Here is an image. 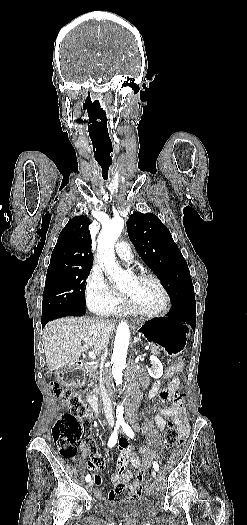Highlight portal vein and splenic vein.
<instances>
[{
    "label": "portal vein and splenic vein",
    "mask_w": 247,
    "mask_h": 525,
    "mask_svg": "<svg viewBox=\"0 0 247 525\" xmlns=\"http://www.w3.org/2000/svg\"><path fill=\"white\" fill-rule=\"evenodd\" d=\"M150 348V345H146V350H149ZM88 356L90 357V359H97V354H95L93 351H90L88 353Z\"/></svg>",
    "instance_id": "18ae733b"
}]
</instances>
